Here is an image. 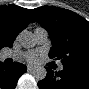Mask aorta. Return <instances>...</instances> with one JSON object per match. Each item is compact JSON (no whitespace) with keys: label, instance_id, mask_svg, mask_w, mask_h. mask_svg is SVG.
<instances>
[{"label":"aorta","instance_id":"762f6f07","mask_svg":"<svg viewBox=\"0 0 89 89\" xmlns=\"http://www.w3.org/2000/svg\"><path fill=\"white\" fill-rule=\"evenodd\" d=\"M18 41L24 48H33L37 41L35 35L30 31H22L18 35ZM47 71L43 66L37 67L33 72L32 76L35 80H43L46 77Z\"/></svg>","mask_w":89,"mask_h":89}]
</instances>
